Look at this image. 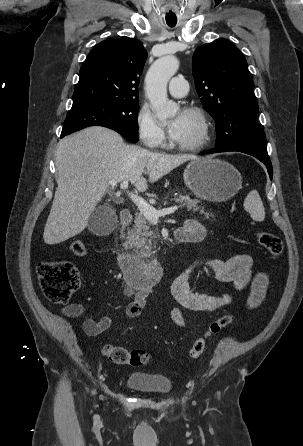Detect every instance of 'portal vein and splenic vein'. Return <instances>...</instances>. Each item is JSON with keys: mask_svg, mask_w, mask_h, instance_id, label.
I'll use <instances>...</instances> for the list:
<instances>
[{"mask_svg": "<svg viewBox=\"0 0 303 446\" xmlns=\"http://www.w3.org/2000/svg\"><path fill=\"white\" fill-rule=\"evenodd\" d=\"M110 185L116 186V182H110ZM120 188L123 190H126L128 188V181H123L120 184ZM128 195L134 202V204L138 207L141 214L150 222L156 223L161 216H165L168 214L174 213L176 210H178V206L163 208L160 210H156L153 206L148 204L144 199L141 197L134 195L133 193H129Z\"/></svg>", "mask_w": 303, "mask_h": 446, "instance_id": "portal-vein-and-splenic-vein-1", "label": "portal vein and splenic vein"}]
</instances>
